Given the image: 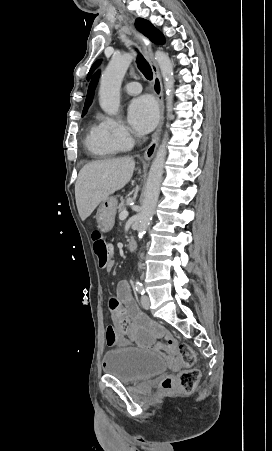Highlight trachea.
Wrapping results in <instances>:
<instances>
[{"mask_svg":"<svg viewBox=\"0 0 272 451\" xmlns=\"http://www.w3.org/2000/svg\"><path fill=\"white\" fill-rule=\"evenodd\" d=\"M138 52V51H137ZM137 66L139 70L143 73V75L148 79H152V69L149 65V63L145 60V58L138 52L137 55Z\"/></svg>","mask_w":272,"mask_h":451,"instance_id":"3493384b","label":"trachea"}]
</instances>
